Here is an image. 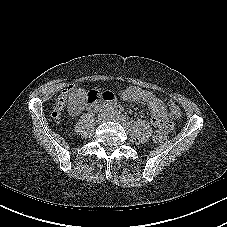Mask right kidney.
I'll return each mask as SVG.
<instances>
[{
  "label": "right kidney",
  "mask_w": 227,
  "mask_h": 227,
  "mask_svg": "<svg viewBox=\"0 0 227 227\" xmlns=\"http://www.w3.org/2000/svg\"><path fill=\"white\" fill-rule=\"evenodd\" d=\"M78 105H79L78 99L76 97L71 98L70 104L68 106V110H69L70 115L78 114V111H79L77 109Z\"/></svg>",
  "instance_id": "obj_1"
}]
</instances>
